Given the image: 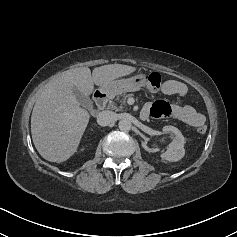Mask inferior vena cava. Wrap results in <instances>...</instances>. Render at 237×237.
Here are the masks:
<instances>
[{
  "label": "inferior vena cava",
  "instance_id": "1",
  "mask_svg": "<svg viewBox=\"0 0 237 237\" xmlns=\"http://www.w3.org/2000/svg\"><path fill=\"white\" fill-rule=\"evenodd\" d=\"M116 121V114L112 111H102L97 116V123L100 126H108Z\"/></svg>",
  "mask_w": 237,
  "mask_h": 237
}]
</instances>
